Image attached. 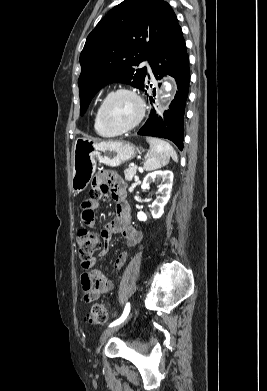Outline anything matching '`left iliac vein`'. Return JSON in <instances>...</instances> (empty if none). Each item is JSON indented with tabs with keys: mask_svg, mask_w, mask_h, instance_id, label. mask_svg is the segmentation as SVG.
<instances>
[{
	"mask_svg": "<svg viewBox=\"0 0 267 391\" xmlns=\"http://www.w3.org/2000/svg\"><path fill=\"white\" fill-rule=\"evenodd\" d=\"M133 315V311L130 312V314L119 324L105 330L101 337H100V342H103L105 341L108 337H110L114 332L118 331L119 328H121L122 326H124L132 317Z\"/></svg>",
	"mask_w": 267,
	"mask_h": 391,
	"instance_id": "obj_1",
	"label": "left iliac vein"
}]
</instances>
